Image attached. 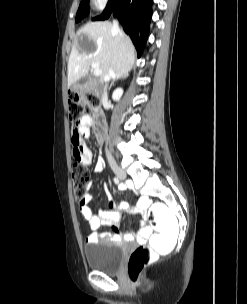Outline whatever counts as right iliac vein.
Here are the masks:
<instances>
[{
    "label": "right iliac vein",
    "mask_w": 247,
    "mask_h": 304,
    "mask_svg": "<svg viewBox=\"0 0 247 304\" xmlns=\"http://www.w3.org/2000/svg\"><path fill=\"white\" fill-rule=\"evenodd\" d=\"M112 169L114 171V173L116 174V176L120 179V180H125L127 175H126V172L120 168L119 166L117 165H113L112 166Z\"/></svg>",
    "instance_id": "1"
}]
</instances>
